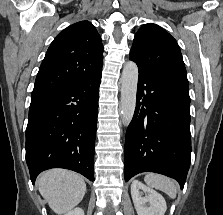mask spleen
<instances>
[{"label": "spleen", "mask_w": 223, "mask_h": 215, "mask_svg": "<svg viewBox=\"0 0 223 215\" xmlns=\"http://www.w3.org/2000/svg\"><path fill=\"white\" fill-rule=\"evenodd\" d=\"M144 179L150 187L161 189V191L168 193L170 197H176L178 185H176L173 179H169V177H165V175H158V173H147Z\"/></svg>", "instance_id": "3e777b00"}]
</instances>
